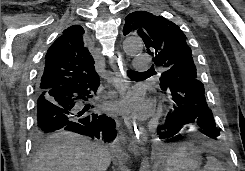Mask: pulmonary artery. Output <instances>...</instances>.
<instances>
[{
  "instance_id": "e3ab8cb5",
  "label": "pulmonary artery",
  "mask_w": 245,
  "mask_h": 171,
  "mask_svg": "<svg viewBox=\"0 0 245 171\" xmlns=\"http://www.w3.org/2000/svg\"><path fill=\"white\" fill-rule=\"evenodd\" d=\"M136 69L138 71L146 70L151 66L150 58L147 55H137L134 57Z\"/></svg>"
}]
</instances>
